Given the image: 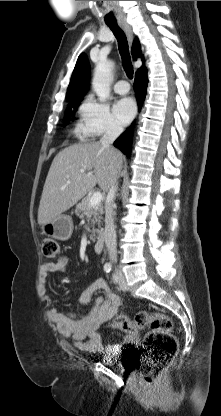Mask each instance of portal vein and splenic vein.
<instances>
[{"instance_id": "portal-vein-and-splenic-vein-1", "label": "portal vein and splenic vein", "mask_w": 221, "mask_h": 416, "mask_svg": "<svg viewBox=\"0 0 221 416\" xmlns=\"http://www.w3.org/2000/svg\"><path fill=\"white\" fill-rule=\"evenodd\" d=\"M81 172H84V170H81ZM102 200H103L102 194L100 192H95L93 193V195L91 196L89 200V206L98 205L99 203H101Z\"/></svg>"}]
</instances>
